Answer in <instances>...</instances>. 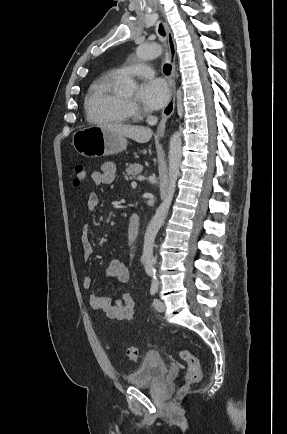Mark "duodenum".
Returning a JSON list of instances; mask_svg holds the SVG:
<instances>
[{"mask_svg":"<svg viewBox=\"0 0 287 434\" xmlns=\"http://www.w3.org/2000/svg\"><path fill=\"white\" fill-rule=\"evenodd\" d=\"M140 231V220L136 213H132L129 217L128 226H127V235L128 239L131 242H135L138 238Z\"/></svg>","mask_w":287,"mask_h":434,"instance_id":"1","label":"duodenum"}]
</instances>
